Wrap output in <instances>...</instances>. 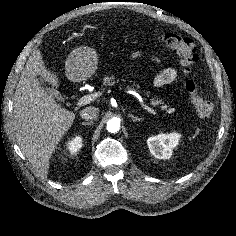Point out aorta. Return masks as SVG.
<instances>
[{"label":"aorta","mask_w":236,"mask_h":236,"mask_svg":"<svg viewBox=\"0 0 236 236\" xmlns=\"http://www.w3.org/2000/svg\"><path fill=\"white\" fill-rule=\"evenodd\" d=\"M106 129L110 133H116L120 129V122L116 118H112L107 122Z\"/></svg>","instance_id":"aorta-1"}]
</instances>
